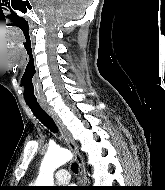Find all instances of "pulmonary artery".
Returning a JSON list of instances; mask_svg holds the SVG:
<instances>
[{"label": "pulmonary artery", "instance_id": "e3ab8cb5", "mask_svg": "<svg viewBox=\"0 0 165 190\" xmlns=\"http://www.w3.org/2000/svg\"><path fill=\"white\" fill-rule=\"evenodd\" d=\"M55 179L59 184H67L70 181V173L66 169H60L56 172Z\"/></svg>", "mask_w": 165, "mask_h": 190}]
</instances>
